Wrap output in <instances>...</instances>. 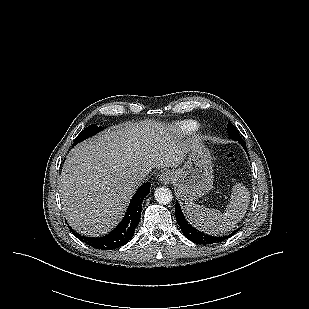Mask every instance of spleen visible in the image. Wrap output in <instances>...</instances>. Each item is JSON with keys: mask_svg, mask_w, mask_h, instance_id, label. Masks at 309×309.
I'll use <instances>...</instances> for the list:
<instances>
[{"mask_svg": "<svg viewBox=\"0 0 309 309\" xmlns=\"http://www.w3.org/2000/svg\"><path fill=\"white\" fill-rule=\"evenodd\" d=\"M250 202L248 189L241 183L233 186L226 212L206 208L187 202L185 212L189 221L199 230L210 235H221L231 231L245 216Z\"/></svg>", "mask_w": 309, "mask_h": 309, "instance_id": "3e777b00", "label": "spleen"}]
</instances>
